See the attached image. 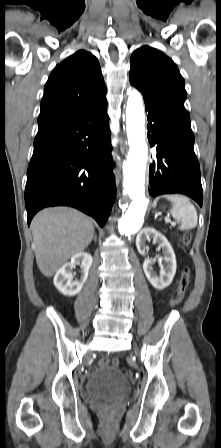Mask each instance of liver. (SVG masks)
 I'll return each mask as SVG.
<instances>
[{
	"instance_id": "liver-1",
	"label": "liver",
	"mask_w": 221,
	"mask_h": 448,
	"mask_svg": "<svg viewBox=\"0 0 221 448\" xmlns=\"http://www.w3.org/2000/svg\"><path fill=\"white\" fill-rule=\"evenodd\" d=\"M40 272L53 276L72 256L84 251L94 237L90 217L72 208H46L31 223Z\"/></svg>"
}]
</instances>
